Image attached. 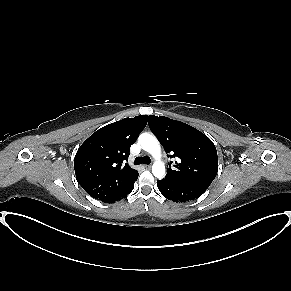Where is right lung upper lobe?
I'll return each mask as SVG.
<instances>
[{"label": "right lung upper lobe", "instance_id": "1", "mask_svg": "<svg viewBox=\"0 0 291 291\" xmlns=\"http://www.w3.org/2000/svg\"><path fill=\"white\" fill-rule=\"evenodd\" d=\"M147 115L124 118L93 133L74 158L77 181L93 198L106 201L138 177L127 163L130 146L147 124Z\"/></svg>", "mask_w": 291, "mask_h": 291}]
</instances>
